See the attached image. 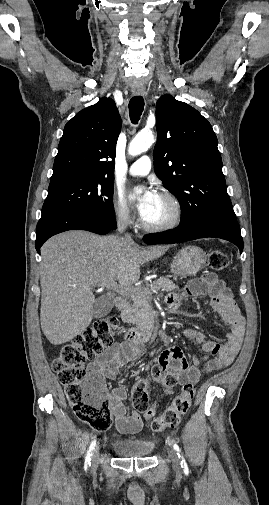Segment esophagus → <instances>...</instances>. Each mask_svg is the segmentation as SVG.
<instances>
[{
  "mask_svg": "<svg viewBox=\"0 0 269 505\" xmlns=\"http://www.w3.org/2000/svg\"><path fill=\"white\" fill-rule=\"evenodd\" d=\"M132 92L134 95H144L145 90L144 89H134Z\"/></svg>",
  "mask_w": 269,
  "mask_h": 505,
  "instance_id": "34e87169",
  "label": "esophagus"
}]
</instances>
